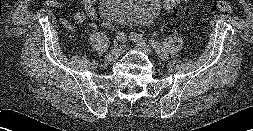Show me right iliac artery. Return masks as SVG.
Wrapping results in <instances>:
<instances>
[{
  "label": "right iliac artery",
  "mask_w": 253,
  "mask_h": 131,
  "mask_svg": "<svg viewBox=\"0 0 253 131\" xmlns=\"http://www.w3.org/2000/svg\"><path fill=\"white\" fill-rule=\"evenodd\" d=\"M117 40L120 41V42H122V43H125V40H126L125 34L123 32H118V34H117Z\"/></svg>",
  "instance_id": "right-iliac-artery-1"
}]
</instances>
